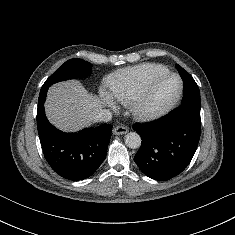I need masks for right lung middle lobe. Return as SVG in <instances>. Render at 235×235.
<instances>
[{"instance_id": "1", "label": "right lung middle lobe", "mask_w": 235, "mask_h": 235, "mask_svg": "<svg viewBox=\"0 0 235 235\" xmlns=\"http://www.w3.org/2000/svg\"><path fill=\"white\" fill-rule=\"evenodd\" d=\"M92 65L82 59H70L54 72L43 84L42 89L49 88L52 84L72 78H83L91 74Z\"/></svg>"}]
</instances>
